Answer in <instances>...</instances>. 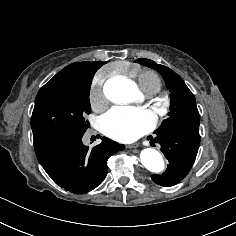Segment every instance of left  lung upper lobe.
Returning <instances> with one entry per match:
<instances>
[{
    "mask_svg": "<svg viewBox=\"0 0 236 236\" xmlns=\"http://www.w3.org/2000/svg\"><path fill=\"white\" fill-rule=\"evenodd\" d=\"M136 62L159 71L171 93L169 118L154 133L159 136L164 131L177 130L199 135L200 115L196 100L183 79L170 68L150 59L139 58Z\"/></svg>",
    "mask_w": 236,
    "mask_h": 236,
    "instance_id": "5c2ea615",
    "label": "left lung upper lobe"
}]
</instances>
